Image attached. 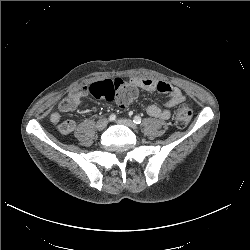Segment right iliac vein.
<instances>
[{
  "label": "right iliac vein",
  "mask_w": 250,
  "mask_h": 250,
  "mask_svg": "<svg viewBox=\"0 0 250 250\" xmlns=\"http://www.w3.org/2000/svg\"><path fill=\"white\" fill-rule=\"evenodd\" d=\"M108 120L106 118H100L96 123L97 130H103L107 126Z\"/></svg>",
  "instance_id": "63e3f726"
}]
</instances>
